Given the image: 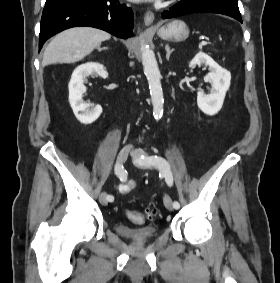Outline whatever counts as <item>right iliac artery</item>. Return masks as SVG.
<instances>
[{"label":"right iliac artery","instance_id":"82829eb1","mask_svg":"<svg viewBox=\"0 0 280 283\" xmlns=\"http://www.w3.org/2000/svg\"><path fill=\"white\" fill-rule=\"evenodd\" d=\"M115 173L117 175V177L123 182L126 181L127 179V171L126 169L123 167V165L121 164H116L115 166ZM107 200L109 202H113L114 201V197L112 195H108L107 196Z\"/></svg>","mask_w":280,"mask_h":283}]
</instances>
